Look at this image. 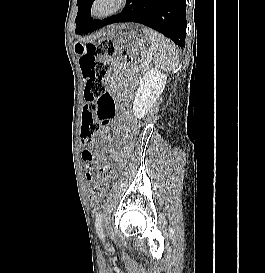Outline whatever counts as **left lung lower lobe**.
Instances as JSON below:
<instances>
[{
	"instance_id": "obj_1",
	"label": "left lung lower lobe",
	"mask_w": 265,
	"mask_h": 273,
	"mask_svg": "<svg viewBox=\"0 0 265 273\" xmlns=\"http://www.w3.org/2000/svg\"><path fill=\"white\" fill-rule=\"evenodd\" d=\"M118 22L144 24L183 47L187 24L186 0H127L124 10L116 16L100 21L93 20L89 15L77 34L85 35Z\"/></svg>"
}]
</instances>
